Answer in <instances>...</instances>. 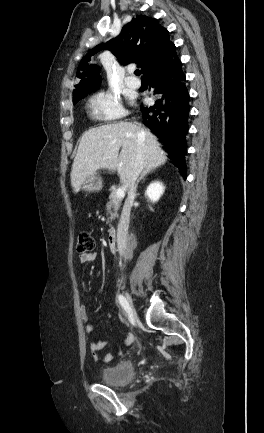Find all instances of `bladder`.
Here are the masks:
<instances>
[{
    "label": "bladder",
    "mask_w": 264,
    "mask_h": 433,
    "mask_svg": "<svg viewBox=\"0 0 264 433\" xmlns=\"http://www.w3.org/2000/svg\"><path fill=\"white\" fill-rule=\"evenodd\" d=\"M133 372V364L130 362H123L105 368L101 373V382L109 386H125L131 381Z\"/></svg>",
    "instance_id": "31cf9c89"
}]
</instances>
